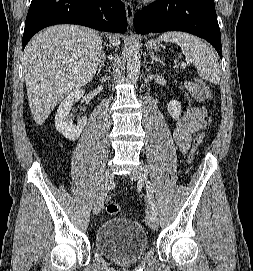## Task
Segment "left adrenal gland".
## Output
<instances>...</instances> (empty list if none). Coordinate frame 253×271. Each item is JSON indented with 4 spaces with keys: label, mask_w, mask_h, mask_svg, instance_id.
Listing matches in <instances>:
<instances>
[{
    "label": "left adrenal gland",
    "mask_w": 253,
    "mask_h": 271,
    "mask_svg": "<svg viewBox=\"0 0 253 271\" xmlns=\"http://www.w3.org/2000/svg\"><path fill=\"white\" fill-rule=\"evenodd\" d=\"M150 58H151V64H153L154 61L163 64V61L160 60L157 56H155L154 52H150Z\"/></svg>",
    "instance_id": "a2214340"
}]
</instances>
